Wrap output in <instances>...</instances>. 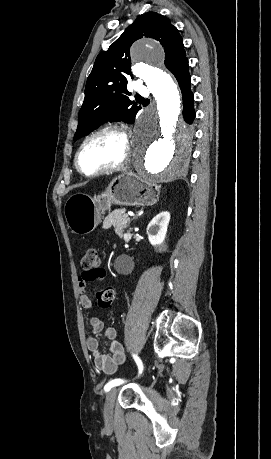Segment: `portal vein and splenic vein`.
I'll return each mask as SVG.
<instances>
[{
    "instance_id": "1",
    "label": "portal vein and splenic vein",
    "mask_w": 271,
    "mask_h": 459,
    "mask_svg": "<svg viewBox=\"0 0 271 459\" xmlns=\"http://www.w3.org/2000/svg\"><path fill=\"white\" fill-rule=\"evenodd\" d=\"M122 216H123V217H129L130 215H128V213L125 212Z\"/></svg>"
}]
</instances>
